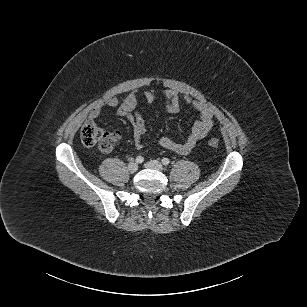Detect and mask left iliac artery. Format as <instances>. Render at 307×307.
<instances>
[{
  "label": "left iliac artery",
  "instance_id": "1",
  "mask_svg": "<svg viewBox=\"0 0 307 307\" xmlns=\"http://www.w3.org/2000/svg\"><path fill=\"white\" fill-rule=\"evenodd\" d=\"M169 163H170V160L168 158H163L162 159V164L163 165L167 166V165H169Z\"/></svg>",
  "mask_w": 307,
  "mask_h": 307
}]
</instances>
